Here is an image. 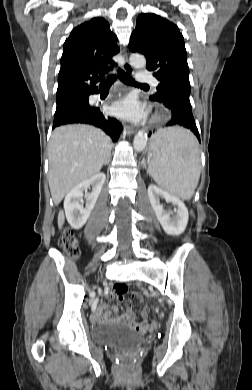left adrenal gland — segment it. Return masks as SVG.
Masks as SVG:
<instances>
[{
    "label": "left adrenal gland",
    "mask_w": 252,
    "mask_h": 390,
    "mask_svg": "<svg viewBox=\"0 0 252 390\" xmlns=\"http://www.w3.org/2000/svg\"><path fill=\"white\" fill-rule=\"evenodd\" d=\"M142 163H143V166L146 168V164H145V161H144V160H142Z\"/></svg>",
    "instance_id": "1"
}]
</instances>
